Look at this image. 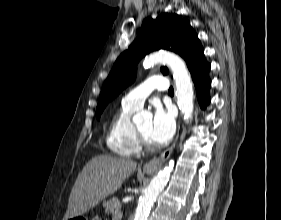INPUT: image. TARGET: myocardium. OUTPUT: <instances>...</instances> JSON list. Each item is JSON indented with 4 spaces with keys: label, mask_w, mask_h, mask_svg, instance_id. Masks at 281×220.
<instances>
[{
    "label": "myocardium",
    "mask_w": 281,
    "mask_h": 220,
    "mask_svg": "<svg viewBox=\"0 0 281 220\" xmlns=\"http://www.w3.org/2000/svg\"><path fill=\"white\" fill-rule=\"evenodd\" d=\"M135 135L141 148H145L147 150H151L154 148L152 142L144 137V135L139 131L138 127H135Z\"/></svg>",
    "instance_id": "obj_1"
}]
</instances>
